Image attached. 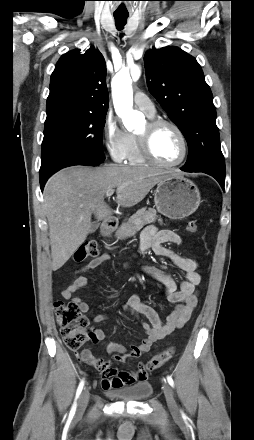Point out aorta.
<instances>
[{"label":"aorta","instance_id":"762f6f07","mask_svg":"<svg viewBox=\"0 0 254 440\" xmlns=\"http://www.w3.org/2000/svg\"><path fill=\"white\" fill-rule=\"evenodd\" d=\"M140 75L141 69L135 66L133 79L138 80ZM111 87L116 114L122 118V122L128 131L135 130L141 125L143 115L133 110L132 78L129 68H124L116 73L112 79Z\"/></svg>","mask_w":254,"mask_h":440}]
</instances>
